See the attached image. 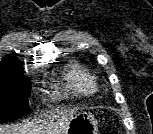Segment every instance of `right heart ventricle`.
I'll return each instance as SVG.
<instances>
[{
    "mask_svg": "<svg viewBox=\"0 0 153 134\" xmlns=\"http://www.w3.org/2000/svg\"><path fill=\"white\" fill-rule=\"evenodd\" d=\"M61 87L65 94L89 96L96 92L97 82L92 72L78 61H71L61 76Z\"/></svg>",
    "mask_w": 153,
    "mask_h": 134,
    "instance_id": "e07e8e85",
    "label": "right heart ventricle"
}]
</instances>
